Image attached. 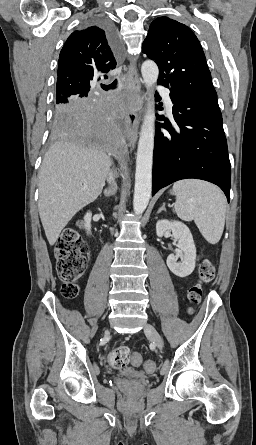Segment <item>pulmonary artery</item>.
Returning a JSON list of instances; mask_svg holds the SVG:
<instances>
[{"instance_id":"e3ab8cb5","label":"pulmonary artery","mask_w":256,"mask_h":445,"mask_svg":"<svg viewBox=\"0 0 256 445\" xmlns=\"http://www.w3.org/2000/svg\"><path fill=\"white\" fill-rule=\"evenodd\" d=\"M163 93H164V101H165V105H166V107H167L168 109H171V107H172V102H171V99H170V97H169V91L164 90Z\"/></svg>"}]
</instances>
